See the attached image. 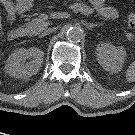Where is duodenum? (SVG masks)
<instances>
[{
  "instance_id": "1",
  "label": "duodenum",
  "mask_w": 135,
  "mask_h": 135,
  "mask_svg": "<svg viewBox=\"0 0 135 135\" xmlns=\"http://www.w3.org/2000/svg\"><path fill=\"white\" fill-rule=\"evenodd\" d=\"M27 33L26 29H14L10 32L11 36L15 39L21 38Z\"/></svg>"
}]
</instances>
